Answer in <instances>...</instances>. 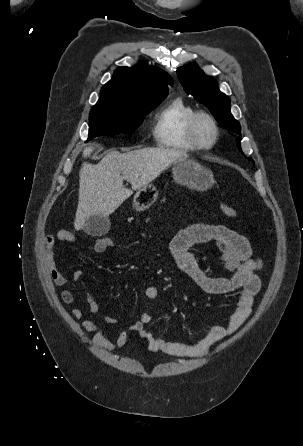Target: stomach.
I'll return each instance as SVG.
<instances>
[{"mask_svg": "<svg viewBox=\"0 0 303 446\" xmlns=\"http://www.w3.org/2000/svg\"><path fill=\"white\" fill-rule=\"evenodd\" d=\"M174 180L196 191H206L213 183L212 172L198 162L184 158L172 164ZM158 191L153 184L137 190L133 198V207L136 211L148 209L157 199Z\"/></svg>", "mask_w": 303, "mask_h": 446, "instance_id": "0dacf381", "label": "stomach"}]
</instances>
